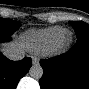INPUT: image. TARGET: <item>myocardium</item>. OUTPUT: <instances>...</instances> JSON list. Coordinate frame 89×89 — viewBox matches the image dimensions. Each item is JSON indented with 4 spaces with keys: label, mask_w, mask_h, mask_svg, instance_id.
Segmentation results:
<instances>
[{
    "label": "myocardium",
    "mask_w": 89,
    "mask_h": 89,
    "mask_svg": "<svg viewBox=\"0 0 89 89\" xmlns=\"http://www.w3.org/2000/svg\"><path fill=\"white\" fill-rule=\"evenodd\" d=\"M73 39V34L70 31L65 30L60 37H58L50 47V52H60L67 48Z\"/></svg>",
    "instance_id": "1"
}]
</instances>
